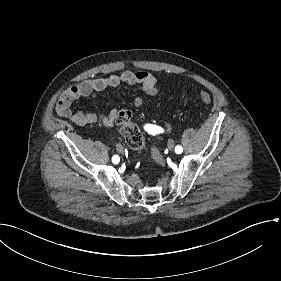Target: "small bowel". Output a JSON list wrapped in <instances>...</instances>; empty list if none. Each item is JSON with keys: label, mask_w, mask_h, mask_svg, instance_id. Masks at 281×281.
<instances>
[{"label": "small bowel", "mask_w": 281, "mask_h": 281, "mask_svg": "<svg viewBox=\"0 0 281 281\" xmlns=\"http://www.w3.org/2000/svg\"><path fill=\"white\" fill-rule=\"evenodd\" d=\"M140 85L144 93L154 96L157 93L156 78L147 71L124 70L119 74H113L106 78H91L84 80L64 90L57 102L56 112L59 116L69 119L72 123L83 126L88 124H103L111 126L116 122L119 113L126 109L113 108L108 114L74 111L72 104L80 98H88L108 88H114L120 84ZM143 100L137 97L134 100L135 107H141ZM129 112V111H128Z\"/></svg>", "instance_id": "small-bowel-1"}]
</instances>
